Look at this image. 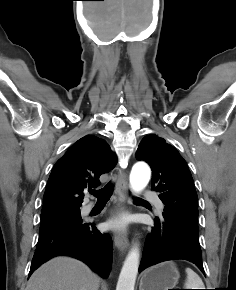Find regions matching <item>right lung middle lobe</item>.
I'll use <instances>...</instances> for the list:
<instances>
[{"mask_svg":"<svg viewBox=\"0 0 236 290\" xmlns=\"http://www.w3.org/2000/svg\"><path fill=\"white\" fill-rule=\"evenodd\" d=\"M80 223H82V219L79 209L42 213L39 234H44L62 227L74 226Z\"/></svg>","mask_w":236,"mask_h":290,"instance_id":"1","label":"right lung middle lobe"}]
</instances>
